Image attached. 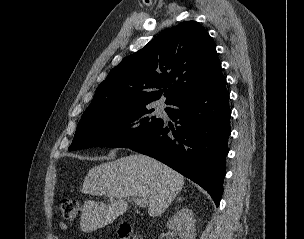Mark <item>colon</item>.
Listing matches in <instances>:
<instances>
[{
  "label": "colon",
  "instance_id": "colon-1",
  "mask_svg": "<svg viewBox=\"0 0 304 239\" xmlns=\"http://www.w3.org/2000/svg\"><path fill=\"white\" fill-rule=\"evenodd\" d=\"M57 204L61 215L67 220L75 219L80 211V203L76 199L62 197ZM118 235L121 239H140V237L132 233L130 226L127 224L119 227Z\"/></svg>",
  "mask_w": 304,
  "mask_h": 239
}]
</instances>
